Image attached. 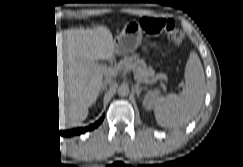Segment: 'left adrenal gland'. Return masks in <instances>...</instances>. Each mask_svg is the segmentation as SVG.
<instances>
[{"mask_svg":"<svg viewBox=\"0 0 243 167\" xmlns=\"http://www.w3.org/2000/svg\"><path fill=\"white\" fill-rule=\"evenodd\" d=\"M134 89H135V92H136L137 97L139 98L140 93L143 90V88L142 87H139L138 85H135Z\"/></svg>","mask_w":243,"mask_h":167,"instance_id":"obj_1","label":"left adrenal gland"}]
</instances>
